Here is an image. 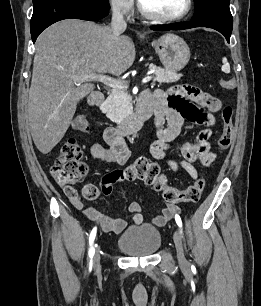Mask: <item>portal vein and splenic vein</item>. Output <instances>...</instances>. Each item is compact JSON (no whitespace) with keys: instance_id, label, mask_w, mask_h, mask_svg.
Returning a JSON list of instances; mask_svg holds the SVG:
<instances>
[{"instance_id":"portal-vein-and-splenic-vein-1","label":"portal vein and splenic vein","mask_w":261,"mask_h":306,"mask_svg":"<svg viewBox=\"0 0 261 306\" xmlns=\"http://www.w3.org/2000/svg\"><path fill=\"white\" fill-rule=\"evenodd\" d=\"M75 82H83V81H100L103 84L111 87V88H124L127 87V83L125 81H120L114 78H111L107 75L103 74H86V75H74L71 77ZM152 80V76H146L142 83H147Z\"/></svg>"}]
</instances>
